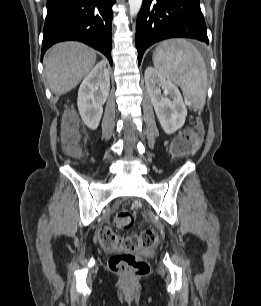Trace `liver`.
<instances>
[{
  "label": "liver",
  "instance_id": "liver-1",
  "mask_svg": "<svg viewBox=\"0 0 261 306\" xmlns=\"http://www.w3.org/2000/svg\"><path fill=\"white\" fill-rule=\"evenodd\" d=\"M96 61V52L78 42L53 46L45 59V75L51 91L62 95L75 88L88 75Z\"/></svg>",
  "mask_w": 261,
  "mask_h": 306
}]
</instances>
